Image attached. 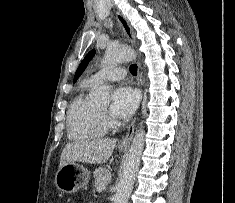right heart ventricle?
Segmentation results:
<instances>
[{
	"label": "right heart ventricle",
	"instance_id": "obj_1",
	"mask_svg": "<svg viewBox=\"0 0 235 203\" xmlns=\"http://www.w3.org/2000/svg\"><path fill=\"white\" fill-rule=\"evenodd\" d=\"M94 86L89 81L84 82L70 104L67 128L72 140L100 138L106 132L100 109L88 96V91Z\"/></svg>",
	"mask_w": 235,
	"mask_h": 203
}]
</instances>
